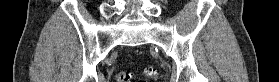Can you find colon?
<instances>
[{"label":"colon","instance_id":"5ec220e1","mask_svg":"<svg viewBox=\"0 0 279 82\" xmlns=\"http://www.w3.org/2000/svg\"><path fill=\"white\" fill-rule=\"evenodd\" d=\"M143 73L147 76V77H154L157 74V70L154 69L153 67H148L145 68ZM131 72L129 71H120L116 74L115 76V81L116 82H130L131 80Z\"/></svg>","mask_w":279,"mask_h":82}]
</instances>
